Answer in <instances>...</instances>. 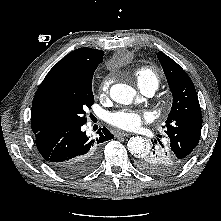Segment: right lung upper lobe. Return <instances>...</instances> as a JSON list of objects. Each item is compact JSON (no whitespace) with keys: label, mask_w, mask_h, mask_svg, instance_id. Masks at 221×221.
I'll list each match as a JSON object with an SVG mask.
<instances>
[{"label":"right lung upper lobe","mask_w":221,"mask_h":221,"mask_svg":"<svg viewBox=\"0 0 221 221\" xmlns=\"http://www.w3.org/2000/svg\"><path fill=\"white\" fill-rule=\"evenodd\" d=\"M104 52L88 47L70 52L53 66L40 84L32 103L31 126L36 135L41 132L62 131L56 127L46 107V95L51 88L69 81L87 66L98 65L103 61Z\"/></svg>","instance_id":"cb5924a9"}]
</instances>
